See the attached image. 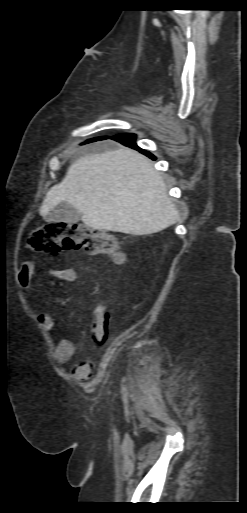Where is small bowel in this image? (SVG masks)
Returning <instances> with one entry per match:
<instances>
[{
	"label": "small bowel",
	"instance_id": "obj_1",
	"mask_svg": "<svg viewBox=\"0 0 247 513\" xmlns=\"http://www.w3.org/2000/svg\"><path fill=\"white\" fill-rule=\"evenodd\" d=\"M34 274V265L31 262H25L19 269L18 279L21 287L27 289L30 285ZM48 281H62V282H74L77 279L76 272L71 268H65L56 270L49 274L47 277ZM37 321L41 327L48 333H50L55 327V321L52 315L46 312L37 314ZM75 353V347L71 340L61 339L54 345V358L57 363L64 364L71 360ZM91 374V366L86 362L79 363L72 372V376L76 380H82L89 377Z\"/></svg>",
	"mask_w": 247,
	"mask_h": 513
}]
</instances>
